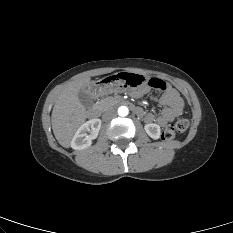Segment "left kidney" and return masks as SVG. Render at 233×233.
Here are the masks:
<instances>
[{"label": "left kidney", "mask_w": 233, "mask_h": 233, "mask_svg": "<svg viewBox=\"0 0 233 233\" xmlns=\"http://www.w3.org/2000/svg\"><path fill=\"white\" fill-rule=\"evenodd\" d=\"M144 129L146 133L152 138V139H159L161 135L160 126L154 123L146 124L144 126Z\"/></svg>", "instance_id": "1"}]
</instances>
